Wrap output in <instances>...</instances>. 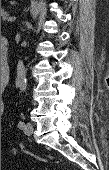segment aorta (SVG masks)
Segmentation results:
<instances>
[{
  "instance_id": "aorta-1",
  "label": "aorta",
  "mask_w": 109,
  "mask_h": 170,
  "mask_svg": "<svg viewBox=\"0 0 109 170\" xmlns=\"http://www.w3.org/2000/svg\"><path fill=\"white\" fill-rule=\"evenodd\" d=\"M16 73H17L16 83L18 84L20 90L24 92L27 87V81L25 67L21 59L18 60Z\"/></svg>"
}]
</instances>
